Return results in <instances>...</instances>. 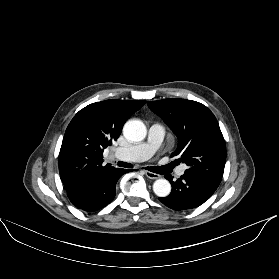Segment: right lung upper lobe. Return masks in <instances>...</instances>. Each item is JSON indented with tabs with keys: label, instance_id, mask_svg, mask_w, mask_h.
<instances>
[{
	"label": "right lung upper lobe",
	"instance_id": "right-lung-upper-lobe-1",
	"mask_svg": "<svg viewBox=\"0 0 279 279\" xmlns=\"http://www.w3.org/2000/svg\"><path fill=\"white\" fill-rule=\"evenodd\" d=\"M145 100H106L80 110L68 125L59 153V173L67 192L117 171L103 164V150L121 134L125 122Z\"/></svg>",
	"mask_w": 279,
	"mask_h": 279
}]
</instances>
